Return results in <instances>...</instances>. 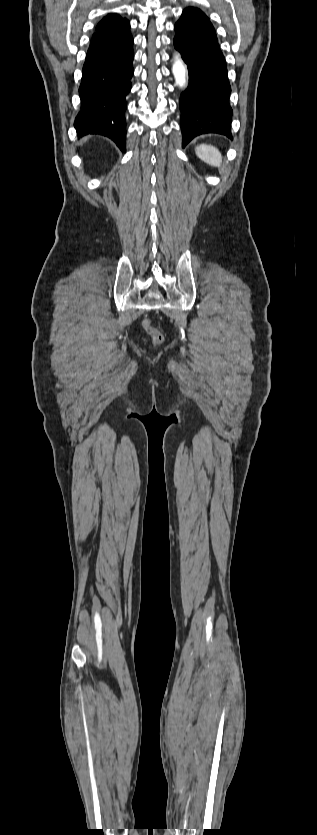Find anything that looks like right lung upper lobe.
<instances>
[{
	"label": "right lung upper lobe",
	"mask_w": 317,
	"mask_h": 835,
	"mask_svg": "<svg viewBox=\"0 0 317 835\" xmlns=\"http://www.w3.org/2000/svg\"><path fill=\"white\" fill-rule=\"evenodd\" d=\"M130 23L117 14H108L97 26V32L108 38L109 41H117L130 34Z\"/></svg>",
	"instance_id": "right-lung-upper-lobe-1"
}]
</instances>
